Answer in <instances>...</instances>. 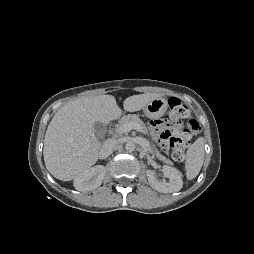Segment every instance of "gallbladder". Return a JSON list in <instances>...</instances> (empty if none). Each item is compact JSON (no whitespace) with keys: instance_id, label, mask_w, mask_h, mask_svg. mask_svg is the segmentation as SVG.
Returning <instances> with one entry per match:
<instances>
[{"instance_id":"bac80fb5","label":"gallbladder","mask_w":254,"mask_h":254,"mask_svg":"<svg viewBox=\"0 0 254 254\" xmlns=\"http://www.w3.org/2000/svg\"><path fill=\"white\" fill-rule=\"evenodd\" d=\"M94 128H95V133L97 136H101L103 134L104 125L102 123L97 122L94 125Z\"/></svg>"}]
</instances>
